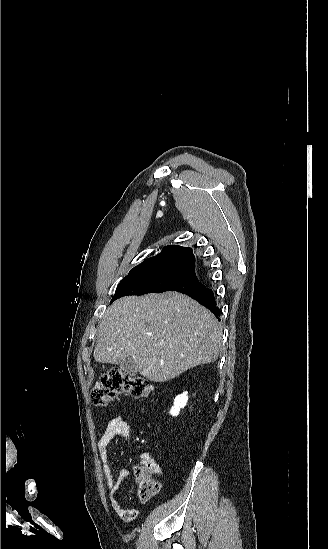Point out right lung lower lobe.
<instances>
[{
	"instance_id": "1",
	"label": "right lung lower lobe",
	"mask_w": 328,
	"mask_h": 549,
	"mask_svg": "<svg viewBox=\"0 0 328 549\" xmlns=\"http://www.w3.org/2000/svg\"><path fill=\"white\" fill-rule=\"evenodd\" d=\"M182 293H185L191 296L192 298L196 299L197 301H199L203 306H205L210 311H212L217 318L220 317V310L216 306L215 297L211 289L203 286L201 288H197L190 291H184Z\"/></svg>"
}]
</instances>
